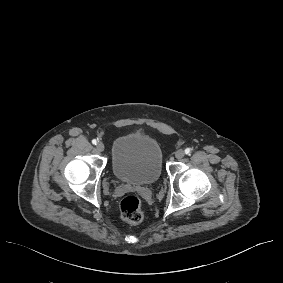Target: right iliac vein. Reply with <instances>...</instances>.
<instances>
[{
	"mask_svg": "<svg viewBox=\"0 0 283 283\" xmlns=\"http://www.w3.org/2000/svg\"><path fill=\"white\" fill-rule=\"evenodd\" d=\"M96 148L99 152H103L105 147H104V144L102 142H98L96 144Z\"/></svg>",
	"mask_w": 283,
	"mask_h": 283,
	"instance_id": "1",
	"label": "right iliac vein"
}]
</instances>
